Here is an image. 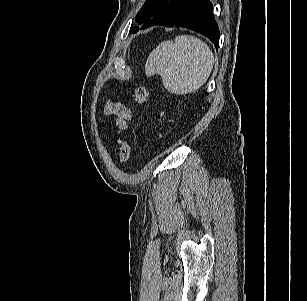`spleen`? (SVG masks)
I'll return each instance as SVG.
<instances>
[{
    "label": "spleen",
    "instance_id": "1",
    "mask_svg": "<svg viewBox=\"0 0 307 301\" xmlns=\"http://www.w3.org/2000/svg\"><path fill=\"white\" fill-rule=\"evenodd\" d=\"M213 63V53L205 42L192 35H178L174 42L163 41L149 54L145 73L159 74L172 94H188L206 83Z\"/></svg>",
    "mask_w": 307,
    "mask_h": 301
}]
</instances>
